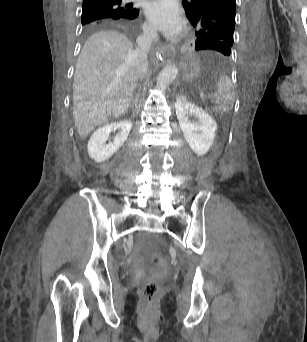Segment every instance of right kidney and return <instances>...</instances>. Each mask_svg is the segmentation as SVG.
Returning a JSON list of instances; mask_svg holds the SVG:
<instances>
[{
	"mask_svg": "<svg viewBox=\"0 0 307 342\" xmlns=\"http://www.w3.org/2000/svg\"><path fill=\"white\" fill-rule=\"evenodd\" d=\"M132 126L133 124L130 120H122V122H114V124H106V126L98 128L88 142L87 152L90 158L95 160V162L109 160L123 146L131 132ZM117 128H121L120 134L115 136L113 144H106L109 134L115 132Z\"/></svg>",
	"mask_w": 307,
	"mask_h": 342,
	"instance_id": "1",
	"label": "right kidney"
}]
</instances>
